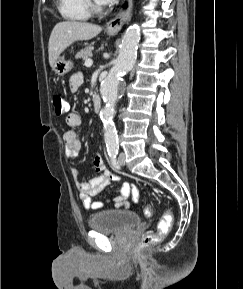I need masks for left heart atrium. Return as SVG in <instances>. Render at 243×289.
Masks as SVG:
<instances>
[{
    "label": "left heart atrium",
    "mask_w": 243,
    "mask_h": 289,
    "mask_svg": "<svg viewBox=\"0 0 243 289\" xmlns=\"http://www.w3.org/2000/svg\"><path fill=\"white\" fill-rule=\"evenodd\" d=\"M98 1H99V3H101V4L106 5V4L113 3L115 0H98Z\"/></svg>",
    "instance_id": "1"
}]
</instances>
